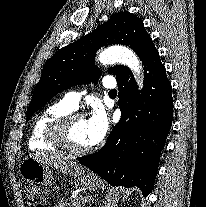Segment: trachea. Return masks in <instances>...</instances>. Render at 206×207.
I'll return each mask as SVG.
<instances>
[{
  "mask_svg": "<svg viewBox=\"0 0 206 207\" xmlns=\"http://www.w3.org/2000/svg\"><path fill=\"white\" fill-rule=\"evenodd\" d=\"M109 93H110V94H116L117 91H116V90H111Z\"/></svg>",
  "mask_w": 206,
  "mask_h": 207,
  "instance_id": "3493384b",
  "label": "trachea"
}]
</instances>
